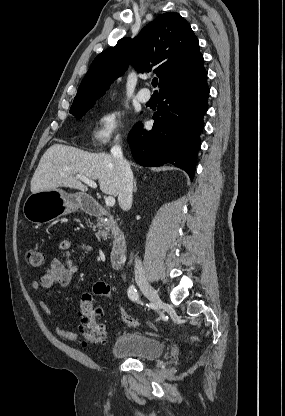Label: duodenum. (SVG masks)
I'll use <instances>...</instances> for the list:
<instances>
[{
	"label": "duodenum",
	"instance_id": "obj_1",
	"mask_svg": "<svg viewBox=\"0 0 285 416\" xmlns=\"http://www.w3.org/2000/svg\"><path fill=\"white\" fill-rule=\"evenodd\" d=\"M77 201L89 214L94 216L105 215V210L103 206L98 203L97 197H90L89 193H78ZM127 246L128 242L126 235L122 232H118L113 238L109 254L112 269L119 270L122 268L127 252Z\"/></svg>",
	"mask_w": 285,
	"mask_h": 416
}]
</instances>
